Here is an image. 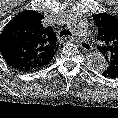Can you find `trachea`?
Returning a JSON list of instances; mask_svg holds the SVG:
<instances>
[{
	"instance_id": "1",
	"label": "trachea",
	"mask_w": 118,
	"mask_h": 118,
	"mask_svg": "<svg viewBox=\"0 0 118 118\" xmlns=\"http://www.w3.org/2000/svg\"><path fill=\"white\" fill-rule=\"evenodd\" d=\"M59 35L62 36H72V33L68 30H62Z\"/></svg>"
}]
</instances>
